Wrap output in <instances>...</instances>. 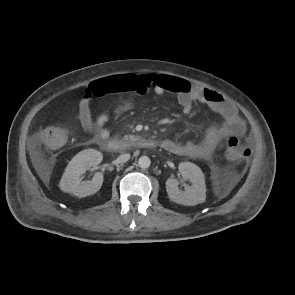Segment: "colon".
I'll use <instances>...</instances> for the list:
<instances>
[{"instance_id":"colon-1","label":"colon","mask_w":295,"mask_h":295,"mask_svg":"<svg viewBox=\"0 0 295 295\" xmlns=\"http://www.w3.org/2000/svg\"><path fill=\"white\" fill-rule=\"evenodd\" d=\"M44 145L50 149H58L66 142V133L59 128L50 127L40 133ZM251 150L243 145L237 137H230L227 140L226 157L237 163L238 171L242 172L251 157Z\"/></svg>"}]
</instances>
